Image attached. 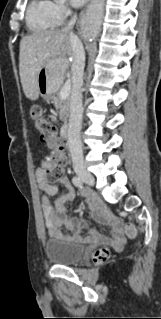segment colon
Instances as JSON below:
<instances>
[{"mask_svg": "<svg viewBox=\"0 0 161 319\" xmlns=\"http://www.w3.org/2000/svg\"><path fill=\"white\" fill-rule=\"evenodd\" d=\"M30 115L34 121L36 129L40 132L43 139L49 146H53L57 153L49 158V165L46 168L48 177L50 179H60L65 175V168L67 165V158L61 153V140L57 135V130L54 124L42 117V109L39 106H33L30 109ZM128 232L134 233V227L129 225ZM111 252L107 248L98 249L93 257L96 264L105 263L110 258Z\"/></svg>", "mask_w": 161, "mask_h": 319, "instance_id": "obj_1", "label": "colon"}]
</instances>
